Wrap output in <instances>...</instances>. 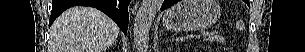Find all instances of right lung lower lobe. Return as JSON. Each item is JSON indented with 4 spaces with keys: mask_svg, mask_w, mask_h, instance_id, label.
<instances>
[{
    "mask_svg": "<svg viewBox=\"0 0 305 52\" xmlns=\"http://www.w3.org/2000/svg\"><path fill=\"white\" fill-rule=\"evenodd\" d=\"M130 0H52L49 26L66 9L81 5L99 9L107 14L126 35L129 22L128 5Z\"/></svg>",
    "mask_w": 305,
    "mask_h": 52,
    "instance_id": "98d812e1",
    "label": "right lung lower lobe"
}]
</instances>
